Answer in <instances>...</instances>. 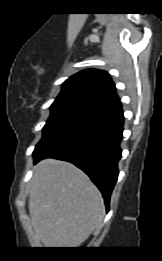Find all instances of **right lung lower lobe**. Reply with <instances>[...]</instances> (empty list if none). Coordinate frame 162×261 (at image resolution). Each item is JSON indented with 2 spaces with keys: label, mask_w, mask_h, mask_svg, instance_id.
<instances>
[{
  "label": "right lung lower lobe",
  "mask_w": 162,
  "mask_h": 261,
  "mask_svg": "<svg viewBox=\"0 0 162 261\" xmlns=\"http://www.w3.org/2000/svg\"><path fill=\"white\" fill-rule=\"evenodd\" d=\"M124 116L119 100L62 127L34 150L44 158L69 161L82 169L101 191L107 211L118 178Z\"/></svg>",
  "instance_id": "98d812e1"
}]
</instances>
